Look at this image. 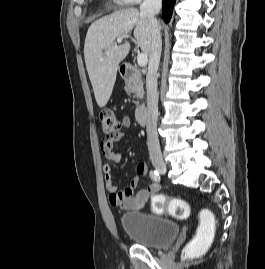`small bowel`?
<instances>
[{"label":"small bowel","instance_id":"c3829d8e","mask_svg":"<svg viewBox=\"0 0 265 269\" xmlns=\"http://www.w3.org/2000/svg\"><path fill=\"white\" fill-rule=\"evenodd\" d=\"M124 128L131 126V119L125 116L121 120ZM124 137V132H120L113 137H105L101 142V151L107 160L103 166L105 186L109 193V203L113 207H119L124 210L140 211L148 202L151 195L160 190V184L153 182L146 188L136 190L140 177L147 174L148 168L145 162L141 161L136 165V176L131 180L130 185L125 189L118 191L115 184L111 163H117L121 160L122 154L114 150L115 143Z\"/></svg>","mask_w":265,"mask_h":269}]
</instances>
